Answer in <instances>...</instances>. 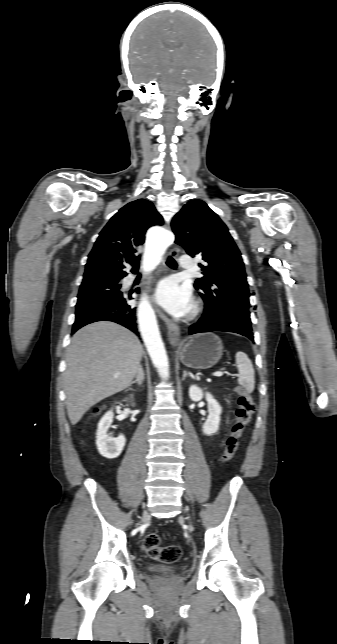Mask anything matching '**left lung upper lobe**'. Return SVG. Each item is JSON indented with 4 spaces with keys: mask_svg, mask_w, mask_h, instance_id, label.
<instances>
[{
    "mask_svg": "<svg viewBox=\"0 0 337 644\" xmlns=\"http://www.w3.org/2000/svg\"><path fill=\"white\" fill-rule=\"evenodd\" d=\"M171 225L175 243L207 263L200 265L204 276L194 284L202 292L204 312L225 315L251 328L244 263L226 225L201 200L185 204Z\"/></svg>",
    "mask_w": 337,
    "mask_h": 644,
    "instance_id": "1",
    "label": "left lung upper lobe"
}]
</instances>
